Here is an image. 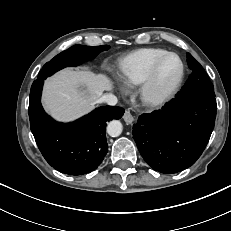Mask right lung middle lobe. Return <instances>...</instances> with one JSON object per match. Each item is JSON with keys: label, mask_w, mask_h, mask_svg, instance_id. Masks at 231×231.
I'll return each instance as SVG.
<instances>
[{"label": "right lung middle lobe", "mask_w": 231, "mask_h": 231, "mask_svg": "<svg viewBox=\"0 0 231 231\" xmlns=\"http://www.w3.org/2000/svg\"><path fill=\"white\" fill-rule=\"evenodd\" d=\"M108 49V45L94 47L74 45L47 62L40 70L38 79H46L64 67L77 66L84 60L94 58L98 53Z\"/></svg>", "instance_id": "obj_1"}]
</instances>
